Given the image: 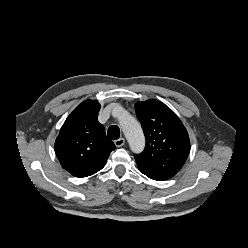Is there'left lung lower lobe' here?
Returning a JSON list of instances; mask_svg holds the SVG:
<instances>
[{"label":"left lung lower lobe","mask_w":248,"mask_h":248,"mask_svg":"<svg viewBox=\"0 0 248 248\" xmlns=\"http://www.w3.org/2000/svg\"><path fill=\"white\" fill-rule=\"evenodd\" d=\"M137 166H138V169L140 170L141 173H143L144 175H146L147 177H149L153 180L163 181V180L170 179L172 177V176L164 174V173L151 171V170L146 169V168H144L138 164H137Z\"/></svg>","instance_id":"left-lung-lower-lobe-1"}]
</instances>
